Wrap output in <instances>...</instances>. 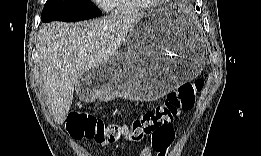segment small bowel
Wrapping results in <instances>:
<instances>
[{
	"label": "small bowel",
	"instance_id": "c3829d8e",
	"mask_svg": "<svg viewBox=\"0 0 261 156\" xmlns=\"http://www.w3.org/2000/svg\"><path fill=\"white\" fill-rule=\"evenodd\" d=\"M73 116L72 114L70 115L69 119H71ZM166 152V150H165ZM164 152V153H165ZM154 153H158L156 151V149L154 148L153 144L146 146L142 149V151L140 152V156H152Z\"/></svg>",
	"mask_w": 261,
	"mask_h": 156
}]
</instances>
